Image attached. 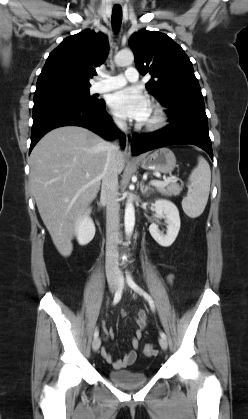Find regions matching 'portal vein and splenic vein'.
<instances>
[{
    "label": "portal vein and splenic vein",
    "mask_w": 248,
    "mask_h": 419,
    "mask_svg": "<svg viewBox=\"0 0 248 419\" xmlns=\"http://www.w3.org/2000/svg\"><path fill=\"white\" fill-rule=\"evenodd\" d=\"M176 181H177L176 177H169V178L165 179L164 181L152 180V181H150V185L156 186V187L165 186L170 182H176Z\"/></svg>",
    "instance_id": "18ae733b"
}]
</instances>
